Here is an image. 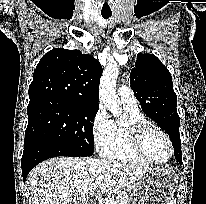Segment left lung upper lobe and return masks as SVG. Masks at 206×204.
Masks as SVG:
<instances>
[{
	"label": "left lung upper lobe",
	"instance_id": "1",
	"mask_svg": "<svg viewBox=\"0 0 206 204\" xmlns=\"http://www.w3.org/2000/svg\"><path fill=\"white\" fill-rule=\"evenodd\" d=\"M130 73V86L144 113L169 135L175 155L181 154L179 135L180 118L177 113V96L173 90L168 69L154 55H137Z\"/></svg>",
	"mask_w": 206,
	"mask_h": 204
}]
</instances>
